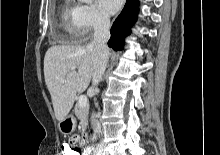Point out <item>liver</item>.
Segmentation results:
<instances>
[{
	"label": "liver",
	"mask_w": 220,
	"mask_h": 155,
	"mask_svg": "<svg viewBox=\"0 0 220 155\" xmlns=\"http://www.w3.org/2000/svg\"><path fill=\"white\" fill-rule=\"evenodd\" d=\"M93 62L91 44L55 45L47 50L44 57V77L55 117L59 122L70 112L77 92L88 88L93 75ZM71 68H77V71Z\"/></svg>",
	"instance_id": "1"
}]
</instances>
